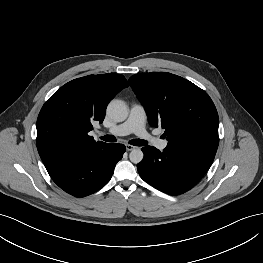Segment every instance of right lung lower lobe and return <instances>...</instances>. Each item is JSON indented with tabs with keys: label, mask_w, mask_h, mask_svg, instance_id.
Masks as SVG:
<instances>
[{
	"label": "right lung lower lobe",
	"mask_w": 263,
	"mask_h": 263,
	"mask_svg": "<svg viewBox=\"0 0 263 263\" xmlns=\"http://www.w3.org/2000/svg\"><path fill=\"white\" fill-rule=\"evenodd\" d=\"M125 151L123 144L106 143L80 153L50 176L65 192L85 197L110 181Z\"/></svg>",
	"instance_id": "right-lung-lower-lobe-1"
}]
</instances>
